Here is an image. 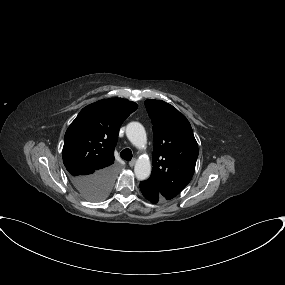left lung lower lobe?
<instances>
[{
    "instance_id": "left-lung-lower-lobe-1",
    "label": "left lung lower lobe",
    "mask_w": 285,
    "mask_h": 285,
    "mask_svg": "<svg viewBox=\"0 0 285 285\" xmlns=\"http://www.w3.org/2000/svg\"><path fill=\"white\" fill-rule=\"evenodd\" d=\"M140 190L143 196L151 203H157L159 200L166 199L162 196L157 187L147 180L140 182Z\"/></svg>"
}]
</instances>
